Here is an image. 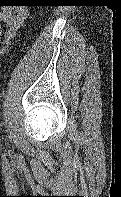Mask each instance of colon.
I'll return each mask as SVG.
<instances>
[{"label":"colon","instance_id":"5ec220e1","mask_svg":"<svg viewBox=\"0 0 121 197\" xmlns=\"http://www.w3.org/2000/svg\"><path fill=\"white\" fill-rule=\"evenodd\" d=\"M1 36H2V28L0 26V38H1Z\"/></svg>","mask_w":121,"mask_h":197}]
</instances>
